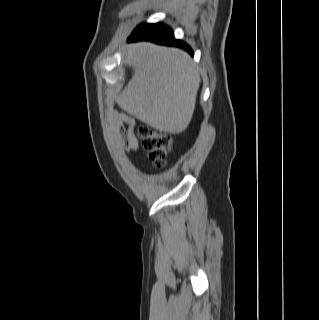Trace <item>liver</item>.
Listing matches in <instances>:
<instances>
[{"mask_svg": "<svg viewBox=\"0 0 319 320\" xmlns=\"http://www.w3.org/2000/svg\"><path fill=\"white\" fill-rule=\"evenodd\" d=\"M124 60L135 73L116 99L120 108L160 132H183L200 85L191 57L181 49L138 42L124 47Z\"/></svg>", "mask_w": 319, "mask_h": 320, "instance_id": "6515ba94", "label": "liver"}]
</instances>
